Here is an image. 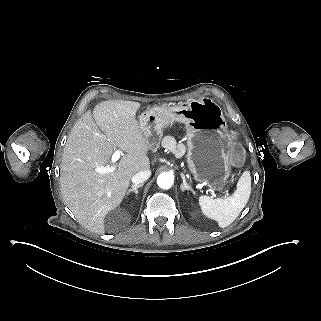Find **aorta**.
Wrapping results in <instances>:
<instances>
[{
    "label": "aorta",
    "mask_w": 321,
    "mask_h": 321,
    "mask_svg": "<svg viewBox=\"0 0 321 321\" xmlns=\"http://www.w3.org/2000/svg\"><path fill=\"white\" fill-rule=\"evenodd\" d=\"M174 183V176L170 173H161L157 178V184L162 189H169Z\"/></svg>",
    "instance_id": "obj_1"
}]
</instances>
